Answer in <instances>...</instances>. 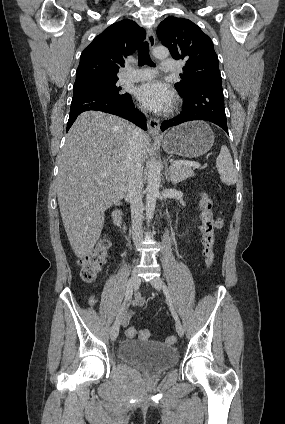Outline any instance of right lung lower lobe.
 <instances>
[{
    "label": "right lung lower lobe",
    "instance_id": "obj_1",
    "mask_svg": "<svg viewBox=\"0 0 285 424\" xmlns=\"http://www.w3.org/2000/svg\"><path fill=\"white\" fill-rule=\"evenodd\" d=\"M88 110L102 111L125 118L146 130V118L133 105L130 95L125 98H115L101 94L86 93L73 95L67 131L77 116Z\"/></svg>",
    "mask_w": 285,
    "mask_h": 424
}]
</instances>
